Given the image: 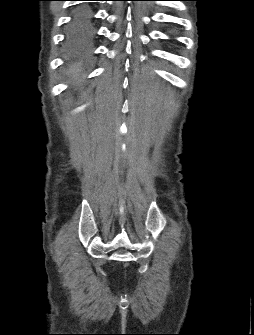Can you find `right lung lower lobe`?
Masks as SVG:
<instances>
[{
    "label": "right lung lower lobe",
    "instance_id": "right-lung-lower-lobe-1",
    "mask_svg": "<svg viewBox=\"0 0 254 335\" xmlns=\"http://www.w3.org/2000/svg\"><path fill=\"white\" fill-rule=\"evenodd\" d=\"M81 20L85 22V25L92 26V11L88 6H80L76 9L72 21V24L78 23Z\"/></svg>",
    "mask_w": 254,
    "mask_h": 335
}]
</instances>
